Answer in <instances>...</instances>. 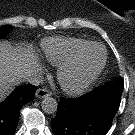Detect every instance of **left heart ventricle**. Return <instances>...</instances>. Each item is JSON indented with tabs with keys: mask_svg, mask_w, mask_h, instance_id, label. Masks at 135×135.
I'll use <instances>...</instances> for the list:
<instances>
[{
	"mask_svg": "<svg viewBox=\"0 0 135 135\" xmlns=\"http://www.w3.org/2000/svg\"><path fill=\"white\" fill-rule=\"evenodd\" d=\"M103 59V50L99 46L91 47L85 54L80 67L73 73L67 76L70 82L76 81L83 74L89 73L100 65Z\"/></svg>",
	"mask_w": 135,
	"mask_h": 135,
	"instance_id": "obj_1",
	"label": "left heart ventricle"
}]
</instances>
